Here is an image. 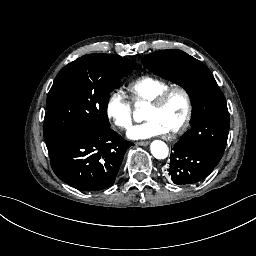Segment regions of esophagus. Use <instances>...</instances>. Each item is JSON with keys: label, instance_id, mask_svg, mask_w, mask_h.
Returning a JSON list of instances; mask_svg holds the SVG:
<instances>
[{"label": "esophagus", "instance_id": "1", "mask_svg": "<svg viewBox=\"0 0 256 256\" xmlns=\"http://www.w3.org/2000/svg\"><path fill=\"white\" fill-rule=\"evenodd\" d=\"M150 142L149 141H138V142H135L136 145H139V146H147Z\"/></svg>", "mask_w": 256, "mask_h": 256}]
</instances>
